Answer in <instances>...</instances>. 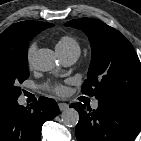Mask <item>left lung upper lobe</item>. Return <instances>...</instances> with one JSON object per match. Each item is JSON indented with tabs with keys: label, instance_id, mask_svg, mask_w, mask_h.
<instances>
[{
	"label": "left lung upper lobe",
	"instance_id": "1",
	"mask_svg": "<svg viewBox=\"0 0 141 141\" xmlns=\"http://www.w3.org/2000/svg\"><path fill=\"white\" fill-rule=\"evenodd\" d=\"M65 26L81 29L90 40L92 60L82 92L97 100L141 104V63L131 43L119 31L93 18L71 20Z\"/></svg>",
	"mask_w": 141,
	"mask_h": 141
}]
</instances>
